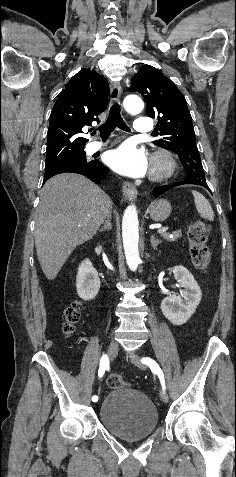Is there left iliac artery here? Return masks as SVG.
I'll return each mask as SVG.
<instances>
[{
	"instance_id": "left-iliac-artery-1",
	"label": "left iliac artery",
	"mask_w": 236,
	"mask_h": 477,
	"mask_svg": "<svg viewBox=\"0 0 236 477\" xmlns=\"http://www.w3.org/2000/svg\"><path fill=\"white\" fill-rule=\"evenodd\" d=\"M141 362L143 364H146L147 366H149L151 371L158 375V377L160 379V382H161V385H162V388L165 391L166 387H165L164 374H163V371L161 370V368L159 367V365L156 363V361L153 360L150 357H144V358L141 359Z\"/></svg>"
}]
</instances>
